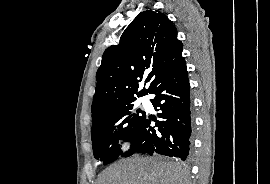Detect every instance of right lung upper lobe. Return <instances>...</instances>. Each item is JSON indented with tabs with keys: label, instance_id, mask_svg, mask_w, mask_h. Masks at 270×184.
I'll return each instance as SVG.
<instances>
[{
	"label": "right lung upper lobe",
	"instance_id": "right-lung-upper-lobe-1",
	"mask_svg": "<svg viewBox=\"0 0 270 184\" xmlns=\"http://www.w3.org/2000/svg\"><path fill=\"white\" fill-rule=\"evenodd\" d=\"M172 21L161 12H141L125 29L120 42L107 48L96 79L92 103L93 123L126 103L148 94L184 58ZM150 82L137 93L139 82Z\"/></svg>",
	"mask_w": 270,
	"mask_h": 184
}]
</instances>
